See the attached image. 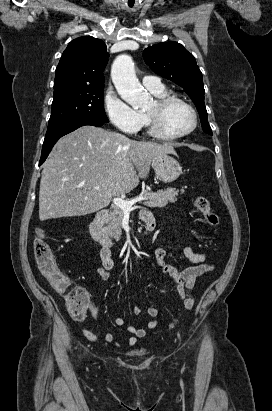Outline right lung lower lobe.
<instances>
[{
  "label": "right lung lower lobe",
  "instance_id": "98d812e1",
  "mask_svg": "<svg viewBox=\"0 0 272 411\" xmlns=\"http://www.w3.org/2000/svg\"><path fill=\"white\" fill-rule=\"evenodd\" d=\"M102 122H96V121H91V120H80L74 123H71L67 126H65L64 128L46 134L45 139H44V143H43V147H42V154H41V158H40V162H39V166L41 164H43V162L45 161V159L47 158V156L49 155L52 147L54 146V144L58 141V139L72 131H74L75 129L84 126V125H92V126H101Z\"/></svg>",
  "mask_w": 272,
  "mask_h": 411
}]
</instances>
